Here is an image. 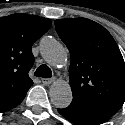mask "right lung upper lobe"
<instances>
[{
	"mask_svg": "<svg viewBox=\"0 0 125 125\" xmlns=\"http://www.w3.org/2000/svg\"><path fill=\"white\" fill-rule=\"evenodd\" d=\"M36 15L0 18V104L25 97L33 84L28 72L34 64L32 45L51 27Z\"/></svg>",
	"mask_w": 125,
	"mask_h": 125,
	"instance_id": "obj_1",
	"label": "right lung upper lobe"
}]
</instances>
